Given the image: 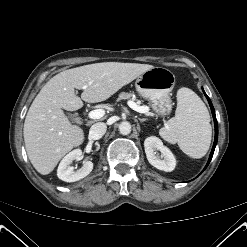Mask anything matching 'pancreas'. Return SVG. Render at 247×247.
Masks as SVG:
<instances>
[{"mask_svg":"<svg viewBox=\"0 0 247 247\" xmlns=\"http://www.w3.org/2000/svg\"><path fill=\"white\" fill-rule=\"evenodd\" d=\"M130 98H132L133 100H135V98L133 97V93L122 92V93L119 94L117 100L119 101V100L130 99Z\"/></svg>","mask_w":247,"mask_h":247,"instance_id":"1","label":"pancreas"}]
</instances>
